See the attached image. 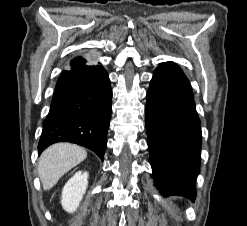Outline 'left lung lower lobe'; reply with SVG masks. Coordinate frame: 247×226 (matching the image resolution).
Returning a JSON list of instances; mask_svg holds the SVG:
<instances>
[{
    "instance_id": "1",
    "label": "left lung lower lobe",
    "mask_w": 247,
    "mask_h": 226,
    "mask_svg": "<svg viewBox=\"0 0 247 226\" xmlns=\"http://www.w3.org/2000/svg\"><path fill=\"white\" fill-rule=\"evenodd\" d=\"M146 129L156 187L162 195L196 198L201 128L191 85L173 62L155 70L147 93Z\"/></svg>"
}]
</instances>
